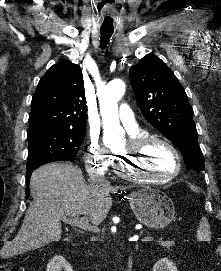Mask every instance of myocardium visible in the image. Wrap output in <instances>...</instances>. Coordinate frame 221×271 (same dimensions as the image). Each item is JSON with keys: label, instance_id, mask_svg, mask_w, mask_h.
Segmentation results:
<instances>
[{"label": "myocardium", "instance_id": "f54148a6", "mask_svg": "<svg viewBox=\"0 0 221 271\" xmlns=\"http://www.w3.org/2000/svg\"><path fill=\"white\" fill-rule=\"evenodd\" d=\"M155 133V132H149ZM168 140L170 138L162 135V137H134V140H129V145H125V150H130V155H134L137 153L138 155L142 154L141 150H147V145H151L149 148L152 150L154 147L152 145H156L157 147H164L167 150V155H170L171 158V166L172 169L175 170L171 173V175L167 172L164 174L163 172L159 174L158 172L155 174L154 172H145L142 168V165H123L126 163V158H114L112 161V168L115 173V178H150V183L152 184H164L165 178H177L182 173V165H178V157L176 153L177 150L174 149L175 145H171ZM139 163V162H138ZM138 170V171H137ZM161 175L162 177L166 175L165 178H156L154 176ZM170 175V176H169Z\"/></svg>", "mask_w": 221, "mask_h": 271}]
</instances>
